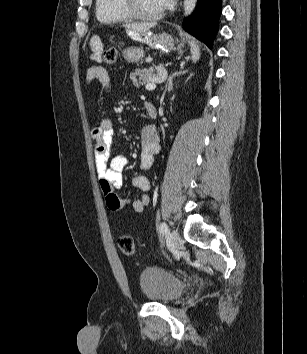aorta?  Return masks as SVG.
<instances>
[{
    "label": "aorta",
    "instance_id": "762f6f07",
    "mask_svg": "<svg viewBox=\"0 0 307 354\" xmlns=\"http://www.w3.org/2000/svg\"><path fill=\"white\" fill-rule=\"evenodd\" d=\"M196 4H197V0H184L183 3L184 14L186 16L190 15L193 12Z\"/></svg>",
    "mask_w": 307,
    "mask_h": 354
}]
</instances>
